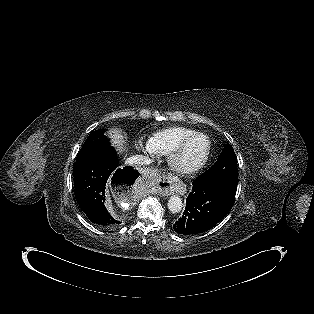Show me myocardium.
<instances>
[{"label": "myocardium", "instance_id": "1", "mask_svg": "<svg viewBox=\"0 0 314 314\" xmlns=\"http://www.w3.org/2000/svg\"><path fill=\"white\" fill-rule=\"evenodd\" d=\"M203 138L206 142V150L203 156L195 162H187L185 159L186 151L192 141ZM212 144L210 138L201 132H196L185 138L178 148L169 155V166L180 174H194L200 171L208 163L211 155Z\"/></svg>", "mask_w": 314, "mask_h": 314}]
</instances>
